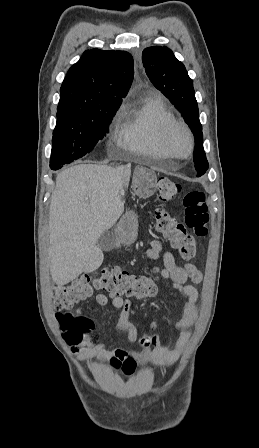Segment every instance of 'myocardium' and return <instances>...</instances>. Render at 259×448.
Segmentation results:
<instances>
[{"instance_id":"myocardium-1","label":"myocardium","mask_w":259,"mask_h":448,"mask_svg":"<svg viewBox=\"0 0 259 448\" xmlns=\"http://www.w3.org/2000/svg\"><path fill=\"white\" fill-rule=\"evenodd\" d=\"M176 129H180L184 132V134L187 137L188 140V155L186 160H190L194 157V146H195V141H194V136L193 133L191 131V129L189 128V126L177 119H173L170 120L168 122H166L160 129V133H159V141H160V145L163 149L165 150H170L172 149L171 147V135L172 133L176 130ZM143 158L145 160L146 163H153L147 156L146 154L143 155Z\"/></svg>"}]
</instances>
